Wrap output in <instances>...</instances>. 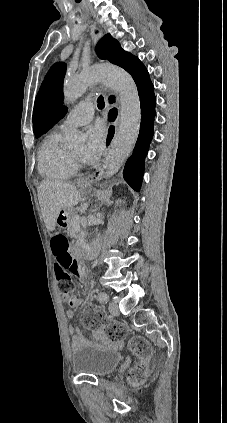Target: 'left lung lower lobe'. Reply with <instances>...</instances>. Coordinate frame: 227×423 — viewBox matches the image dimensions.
<instances>
[{"label": "left lung lower lobe", "mask_w": 227, "mask_h": 423, "mask_svg": "<svg viewBox=\"0 0 227 423\" xmlns=\"http://www.w3.org/2000/svg\"><path fill=\"white\" fill-rule=\"evenodd\" d=\"M136 85L140 97L142 117L139 136L133 153L125 164L123 176L131 188L135 191H139L144 173V160L154 134L153 125L156 99L154 95V86L148 73L144 75ZM116 116V109L110 110L109 121H114Z\"/></svg>", "instance_id": "0a47b994"}]
</instances>
